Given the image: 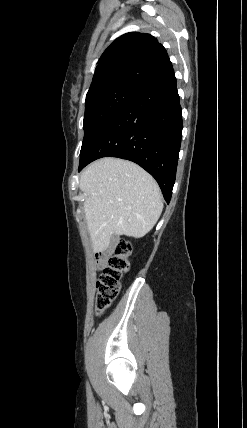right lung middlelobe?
Segmentation results:
<instances>
[{"label":"right lung middle lobe","mask_w":247,"mask_h":428,"mask_svg":"<svg viewBox=\"0 0 247 428\" xmlns=\"http://www.w3.org/2000/svg\"><path fill=\"white\" fill-rule=\"evenodd\" d=\"M139 93L127 87H113L86 95L80 157L106 124Z\"/></svg>","instance_id":"dd1d6c3e"}]
</instances>
